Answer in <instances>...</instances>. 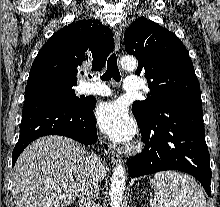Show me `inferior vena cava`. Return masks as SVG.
I'll use <instances>...</instances> for the list:
<instances>
[{"instance_id": "obj_1", "label": "inferior vena cava", "mask_w": 220, "mask_h": 207, "mask_svg": "<svg viewBox=\"0 0 220 207\" xmlns=\"http://www.w3.org/2000/svg\"><path fill=\"white\" fill-rule=\"evenodd\" d=\"M102 159L97 154L89 157V167L80 183L79 207H98L100 171Z\"/></svg>"}]
</instances>
